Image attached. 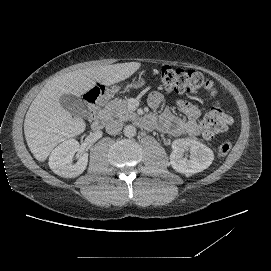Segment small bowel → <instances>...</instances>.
<instances>
[{
  "label": "small bowel",
  "mask_w": 271,
  "mask_h": 271,
  "mask_svg": "<svg viewBox=\"0 0 271 271\" xmlns=\"http://www.w3.org/2000/svg\"><path fill=\"white\" fill-rule=\"evenodd\" d=\"M164 97L159 92H152L148 96V104L156 109L162 105ZM177 106L183 117H177L170 109H165L159 117L160 127L173 136H196L200 133L198 119L201 109L198 105L187 100H180Z\"/></svg>",
  "instance_id": "small-bowel-1"
}]
</instances>
